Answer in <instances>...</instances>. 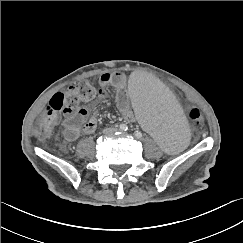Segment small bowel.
Returning <instances> with one entry per match:
<instances>
[{
  "label": "small bowel",
  "mask_w": 243,
  "mask_h": 243,
  "mask_svg": "<svg viewBox=\"0 0 243 243\" xmlns=\"http://www.w3.org/2000/svg\"><path fill=\"white\" fill-rule=\"evenodd\" d=\"M109 86L114 87L116 90V104L121 115L127 120H134L129 105L130 98L126 91L125 75L120 72L105 73L99 78L98 97L92 103L77 111L65 113L62 135L64 142L75 141L80 135L89 134L95 130L97 118L95 115L89 116V111L109 94Z\"/></svg>",
  "instance_id": "1"
}]
</instances>
